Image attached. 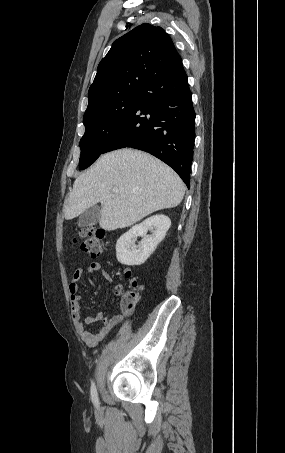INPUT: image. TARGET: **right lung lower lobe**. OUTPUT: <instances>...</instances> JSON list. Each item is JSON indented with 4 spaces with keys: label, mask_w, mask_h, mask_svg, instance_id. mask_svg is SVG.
Segmentation results:
<instances>
[{
    "label": "right lung lower lobe",
    "mask_w": 285,
    "mask_h": 453,
    "mask_svg": "<svg viewBox=\"0 0 285 453\" xmlns=\"http://www.w3.org/2000/svg\"><path fill=\"white\" fill-rule=\"evenodd\" d=\"M195 112L182 63L152 79L104 153L131 147L172 167L190 187Z\"/></svg>",
    "instance_id": "right-lung-lower-lobe-1"
}]
</instances>
